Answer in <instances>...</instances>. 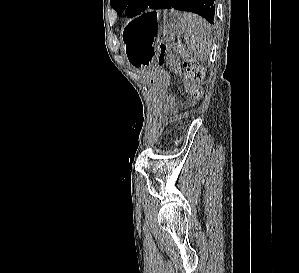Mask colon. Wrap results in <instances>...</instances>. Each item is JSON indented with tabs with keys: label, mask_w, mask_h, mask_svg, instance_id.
<instances>
[{
	"label": "colon",
	"mask_w": 299,
	"mask_h": 273,
	"mask_svg": "<svg viewBox=\"0 0 299 273\" xmlns=\"http://www.w3.org/2000/svg\"><path fill=\"white\" fill-rule=\"evenodd\" d=\"M183 53L184 49L179 44L161 43L157 62L160 65H167L176 73L183 75L184 80L192 87L193 98L197 99L202 95V89L197 86V83L202 81L204 72L202 67L192 59H187L181 64L178 55Z\"/></svg>",
	"instance_id": "obj_1"
}]
</instances>
